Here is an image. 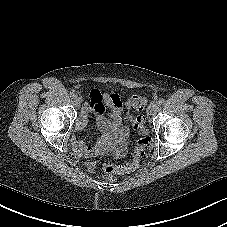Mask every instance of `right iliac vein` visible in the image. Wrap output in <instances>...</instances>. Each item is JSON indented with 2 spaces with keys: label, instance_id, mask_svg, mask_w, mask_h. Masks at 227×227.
I'll use <instances>...</instances> for the list:
<instances>
[{
  "label": "right iliac vein",
  "instance_id": "1",
  "mask_svg": "<svg viewBox=\"0 0 227 227\" xmlns=\"http://www.w3.org/2000/svg\"><path fill=\"white\" fill-rule=\"evenodd\" d=\"M74 103H75V105H76L77 107H79L80 104H81V98L78 97V96H76V97L74 98Z\"/></svg>",
  "mask_w": 227,
  "mask_h": 227
}]
</instances>
